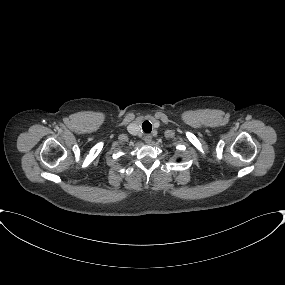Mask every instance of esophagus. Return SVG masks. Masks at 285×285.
Listing matches in <instances>:
<instances>
[{"label": "esophagus", "mask_w": 285, "mask_h": 285, "mask_svg": "<svg viewBox=\"0 0 285 285\" xmlns=\"http://www.w3.org/2000/svg\"><path fill=\"white\" fill-rule=\"evenodd\" d=\"M151 140H152V136L150 134H147L145 137H144V141L149 144L151 143Z\"/></svg>", "instance_id": "esophagus-1"}]
</instances>
